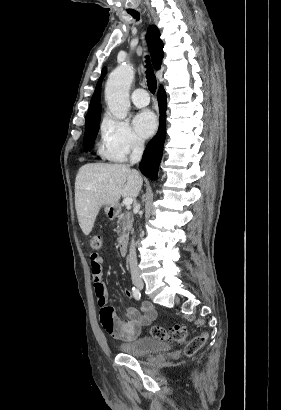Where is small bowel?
Listing matches in <instances>:
<instances>
[{
  "label": "small bowel",
  "instance_id": "c3829d8e",
  "mask_svg": "<svg viewBox=\"0 0 281 410\" xmlns=\"http://www.w3.org/2000/svg\"><path fill=\"white\" fill-rule=\"evenodd\" d=\"M102 263L103 259L98 254H92L90 256L91 273L94 282V291L97 298V304L101 309V322L102 312L104 310H111L112 315L110 317L112 322V328L106 331L115 339L124 341L135 340L140 330L149 325L156 319L157 312L152 304L145 303L141 306V312L138 313L134 309H129L126 320H120L115 316L114 310L108 305V293L105 283L102 277ZM123 295L126 298L133 296L132 290L124 289Z\"/></svg>",
  "mask_w": 281,
  "mask_h": 410
}]
</instances>
